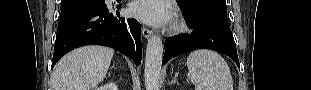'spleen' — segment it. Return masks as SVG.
<instances>
[{
    "label": "spleen",
    "mask_w": 311,
    "mask_h": 90,
    "mask_svg": "<svg viewBox=\"0 0 311 90\" xmlns=\"http://www.w3.org/2000/svg\"><path fill=\"white\" fill-rule=\"evenodd\" d=\"M188 76L195 90H233L226 61L211 50H195L187 58Z\"/></svg>",
    "instance_id": "1"
}]
</instances>
